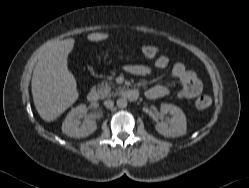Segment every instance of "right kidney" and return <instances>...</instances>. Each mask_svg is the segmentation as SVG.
<instances>
[{"label":"right kidney","mask_w":249,"mask_h":188,"mask_svg":"<svg viewBox=\"0 0 249 188\" xmlns=\"http://www.w3.org/2000/svg\"><path fill=\"white\" fill-rule=\"evenodd\" d=\"M87 112L86 105L81 104L73 108L66 116L62 124V132L73 138H83L92 134L97 129L96 120L89 118L85 120L82 126L75 117L82 116Z\"/></svg>","instance_id":"1"}]
</instances>
